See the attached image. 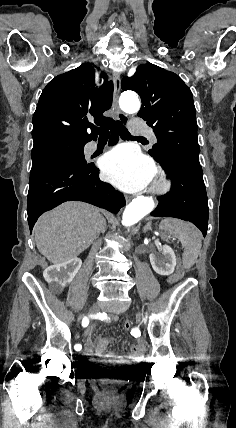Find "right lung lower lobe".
<instances>
[{
	"mask_svg": "<svg viewBox=\"0 0 236 428\" xmlns=\"http://www.w3.org/2000/svg\"><path fill=\"white\" fill-rule=\"evenodd\" d=\"M110 128V144L113 145L118 136L115 126ZM65 201L87 202L112 213L125 206L123 194L99 179V170L94 164L59 161L31 169L27 196L30 231L42 213Z\"/></svg>",
	"mask_w": 236,
	"mask_h": 428,
	"instance_id": "obj_1",
	"label": "right lung lower lobe"
}]
</instances>
